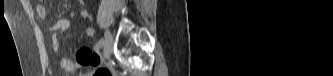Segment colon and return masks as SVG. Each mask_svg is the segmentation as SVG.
I'll return each instance as SVG.
<instances>
[{
  "label": "colon",
  "mask_w": 333,
  "mask_h": 76,
  "mask_svg": "<svg viewBox=\"0 0 333 76\" xmlns=\"http://www.w3.org/2000/svg\"><path fill=\"white\" fill-rule=\"evenodd\" d=\"M96 76H112V73L109 69L102 68L96 71Z\"/></svg>",
  "instance_id": "obj_1"
}]
</instances>
